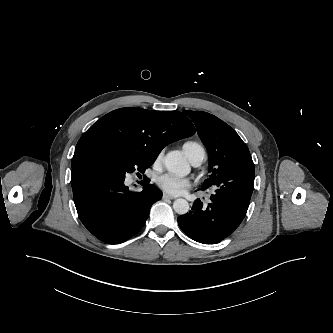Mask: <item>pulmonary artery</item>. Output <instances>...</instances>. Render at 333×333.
I'll use <instances>...</instances> for the list:
<instances>
[{
	"instance_id": "1",
	"label": "pulmonary artery",
	"mask_w": 333,
	"mask_h": 333,
	"mask_svg": "<svg viewBox=\"0 0 333 333\" xmlns=\"http://www.w3.org/2000/svg\"><path fill=\"white\" fill-rule=\"evenodd\" d=\"M205 159V152L198 154L192 161V165L199 166Z\"/></svg>"
}]
</instances>
